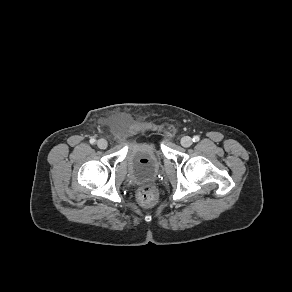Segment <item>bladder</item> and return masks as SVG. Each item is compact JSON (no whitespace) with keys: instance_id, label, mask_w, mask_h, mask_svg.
Wrapping results in <instances>:
<instances>
[{"instance_id":"1","label":"bladder","mask_w":292,"mask_h":292,"mask_svg":"<svg viewBox=\"0 0 292 292\" xmlns=\"http://www.w3.org/2000/svg\"><path fill=\"white\" fill-rule=\"evenodd\" d=\"M128 177L137 182L151 181L161 169L157 146L151 142L135 143L125 158Z\"/></svg>"}]
</instances>
